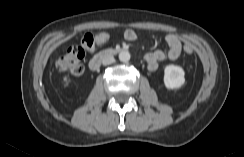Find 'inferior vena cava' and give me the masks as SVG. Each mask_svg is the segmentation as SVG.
Returning <instances> with one entry per match:
<instances>
[{"instance_id": "obj_1", "label": "inferior vena cava", "mask_w": 244, "mask_h": 157, "mask_svg": "<svg viewBox=\"0 0 244 157\" xmlns=\"http://www.w3.org/2000/svg\"><path fill=\"white\" fill-rule=\"evenodd\" d=\"M115 59L112 55H105L103 58H102V64L103 65H110L112 63H114Z\"/></svg>"}]
</instances>
